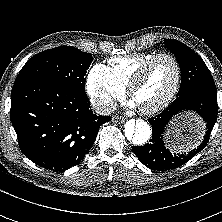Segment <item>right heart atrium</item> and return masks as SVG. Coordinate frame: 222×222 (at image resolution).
Masks as SVG:
<instances>
[{
  "mask_svg": "<svg viewBox=\"0 0 222 222\" xmlns=\"http://www.w3.org/2000/svg\"><path fill=\"white\" fill-rule=\"evenodd\" d=\"M86 87L92 105L103 114L110 112L116 100L125 93V87L120 85L109 68L102 64H95L90 69Z\"/></svg>",
  "mask_w": 222,
  "mask_h": 222,
  "instance_id": "1",
  "label": "right heart atrium"
}]
</instances>
